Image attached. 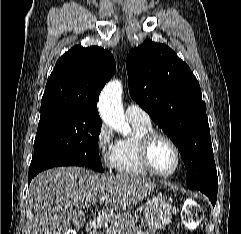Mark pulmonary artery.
Segmentation results:
<instances>
[{"instance_id": "1", "label": "pulmonary artery", "mask_w": 241, "mask_h": 234, "mask_svg": "<svg viewBox=\"0 0 241 234\" xmlns=\"http://www.w3.org/2000/svg\"><path fill=\"white\" fill-rule=\"evenodd\" d=\"M127 119L130 122L149 124L151 122L149 114L137 104H128L125 110Z\"/></svg>"}]
</instances>
